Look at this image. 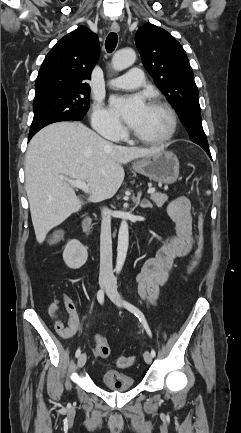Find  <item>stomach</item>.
I'll use <instances>...</instances> for the list:
<instances>
[{"label":"stomach","mask_w":241,"mask_h":433,"mask_svg":"<svg viewBox=\"0 0 241 433\" xmlns=\"http://www.w3.org/2000/svg\"><path fill=\"white\" fill-rule=\"evenodd\" d=\"M179 160L177 156L164 149L154 155L133 163V169L151 181L173 184L179 176Z\"/></svg>","instance_id":"obj_1"}]
</instances>
